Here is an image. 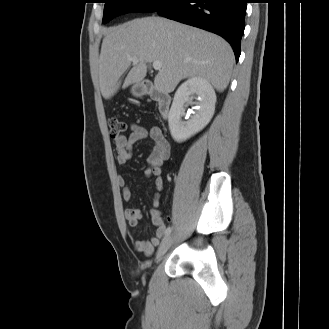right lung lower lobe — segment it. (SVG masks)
<instances>
[{
	"label": "right lung lower lobe",
	"instance_id": "obj_1",
	"mask_svg": "<svg viewBox=\"0 0 329 329\" xmlns=\"http://www.w3.org/2000/svg\"><path fill=\"white\" fill-rule=\"evenodd\" d=\"M247 0H171L158 14L223 37L233 48L236 60L241 53Z\"/></svg>",
	"mask_w": 329,
	"mask_h": 329
}]
</instances>
